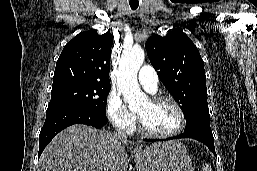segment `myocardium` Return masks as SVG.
Listing matches in <instances>:
<instances>
[{
	"mask_svg": "<svg viewBox=\"0 0 257 171\" xmlns=\"http://www.w3.org/2000/svg\"><path fill=\"white\" fill-rule=\"evenodd\" d=\"M149 101L153 104L162 103V102H167L171 104L175 108L176 112L178 113L179 124L172 131L165 132V133L156 132L147 128L144 122L142 121L141 117L137 114V126L142 133L155 138H171L182 132V130L186 125V117L183 109L175 99H173L170 96L156 95L151 97Z\"/></svg>",
	"mask_w": 257,
	"mask_h": 171,
	"instance_id": "1",
	"label": "myocardium"
}]
</instances>
